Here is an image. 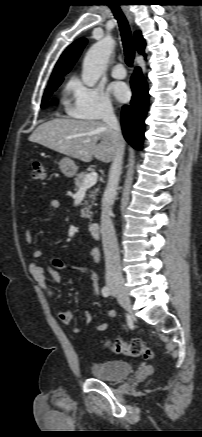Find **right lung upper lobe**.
I'll list each match as a JSON object with an SVG mask.
<instances>
[{
	"instance_id": "obj_1",
	"label": "right lung upper lobe",
	"mask_w": 202,
	"mask_h": 437,
	"mask_svg": "<svg viewBox=\"0 0 202 437\" xmlns=\"http://www.w3.org/2000/svg\"><path fill=\"white\" fill-rule=\"evenodd\" d=\"M134 36H135V46L137 51L140 54L145 55L144 48L146 42L142 37L141 32H135ZM86 43L87 40L85 38L78 39L64 51V53L61 55L60 59L58 60L55 69L51 75L50 84L55 81L63 79V76L70 71L74 63L77 61Z\"/></svg>"
}]
</instances>
